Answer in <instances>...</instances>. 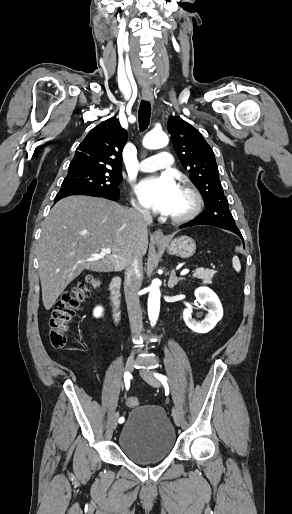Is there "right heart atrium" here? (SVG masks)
<instances>
[{"label":"right heart atrium","instance_id":"d8ad5b80","mask_svg":"<svg viewBox=\"0 0 292 514\" xmlns=\"http://www.w3.org/2000/svg\"><path fill=\"white\" fill-rule=\"evenodd\" d=\"M136 206H137L138 209H142V206H141L140 203H137Z\"/></svg>","mask_w":292,"mask_h":514}]
</instances>
